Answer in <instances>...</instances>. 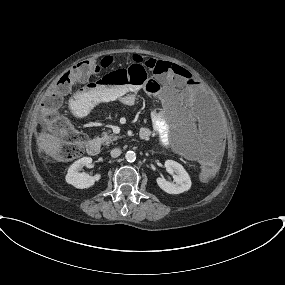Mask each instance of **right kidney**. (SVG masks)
I'll use <instances>...</instances> for the list:
<instances>
[{
  "label": "right kidney",
  "mask_w": 285,
  "mask_h": 285,
  "mask_svg": "<svg viewBox=\"0 0 285 285\" xmlns=\"http://www.w3.org/2000/svg\"><path fill=\"white\" fill-rule=\"evenodd\" d=\"M91 164V157H83L75 161L68 169V173L66 175V182L78 189H85L93 186L95 182L100 180L101 175L96 174L94 176H90L85 172H81V169L84 166L89 168L91 167Z\"/></svg>",
  "instance_id": "ca27d5eb"
}]
</instances>
